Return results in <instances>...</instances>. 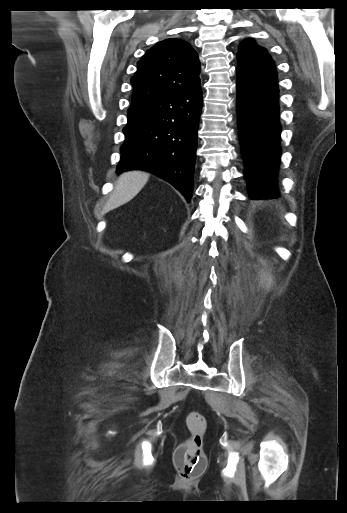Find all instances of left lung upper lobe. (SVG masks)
Wrapping results in <instances>:
<instances>
[{
  "label": "left lung upper lobe",
  "instance_id": "5c2ea615",
  "mask_svg": "<svg viewBox=\"0 0 347 513\" xmlns=\"http://www.w3.org/2000/svg\"><path fill=\"white\" fill-rule=\"evenodd\" d=\"M238 59H249L265 64H272V60L265 48L259 47L253 39L246 38L239 47Z\"/></svg>",
  "mask_w": 347,
  "mask_h": 513
}]
</instances>
